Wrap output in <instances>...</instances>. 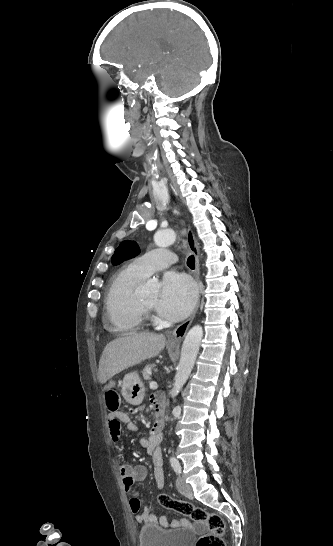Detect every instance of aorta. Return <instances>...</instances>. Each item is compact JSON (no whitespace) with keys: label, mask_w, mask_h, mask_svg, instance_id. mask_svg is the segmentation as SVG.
<instances>
[{"label":"aorta","mask_w":333,"mask_h":546,"mask_svg":"<svg viewBox=\"0 0 333 546\" xmlns=\"http://www.w3.org/2000/svg\"><path fill=\"white\" fill-rule=\"evenodd\" d=\"M176 233L171 229L157 232L154 235V242L159 247H167L175 242ZM203 337V329L200 325L192 327L183 342L181 357L177 366L176 375L173 384V394L177 395L186 383L194 367L195 360L199 351L200 343Z\"/></svg>","instance_id":"obj_1"}]
</instances>
